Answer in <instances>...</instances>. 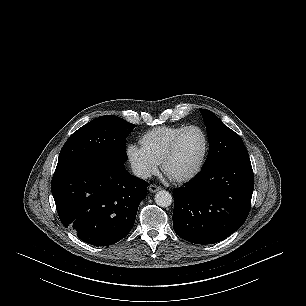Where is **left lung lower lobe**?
Masks as SVG:
<instances>
[{
  "label": "left lung lower lobe",
  "mask_w": 306,
  "mask_h": 306,
  "mask_svg": "<svg viewBox=\"0 0 306 306\" xmlns=\"http://www.w3.org/2000/svg\"><path fill=\"white\" fill-rule=\"evenodd\" d=\"M254 189L249 157L224 160L174 191L173 228L196 244L224 240L245 222Z\"/></svg>",
  "instance_id": "1"
}]
</instances>
